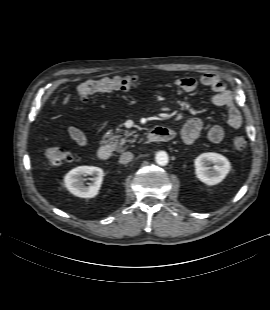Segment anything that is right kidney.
Instances as JSON below:
<instances>
[{"mask_svg":"<svg viewBox=\"0 0 270 310\" xmlns=\"http://www.w3.org/2000/svg\"><path fill=\"white\" fill-rule=\"evenodd\" d=\"M92 175L93 182L89 186L83 184V177ZM103 170L94 166H79L69 171L64 177L65 187L73 195L81 198H93L100 190L103 180Z\"/></svg>","mask_w":270,"mask_h":310,"instance_id":"right-kidney-1","label":"right kidney"}]
</instances>
